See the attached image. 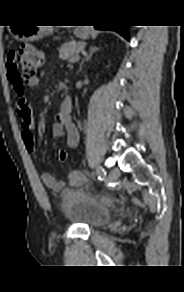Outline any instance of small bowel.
Here are the masks:
<instances>
[{"instance_id":"c3829d8e","label":"small bowel","mask_w":184,"mask_h":292,"mask_svg":"<svg viewBox=\"0 0 184 292\" xmlns=\"http://www.w3.org/2000/svg\"><path fill=\"white\" fill-rule=\"evenodd\" d=\"M39 80L40 76L37 75L34 76L26 84L30 87H34L39 83ZM13 86L18 95L15 108L16 113L18 114L21 122L20 123L21 134L28 152L33 153L35 151V146L34 148H30L28 147L26 142V135L30 134L33 136L34 131L33 111L23 96V89L18 88L15 85ZM53 133L55 137L62 138L69 148H75L78 144L79 140L78 130L73 121L71 120L69 112L64 113L60 111L56 115L55 123L53 126ZM41 180L45 186L52 189L53 191H59L65 186V183L63 181L56 180V178L50 172H43L41 174ZM87 182L88 179L86 175L79 170H72L68 174V184L70 187L78 188L87 184Z\"/></svg>"}]
</instances>
